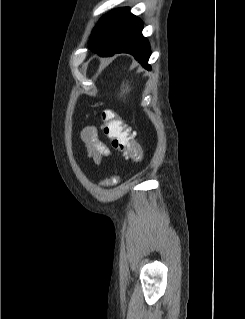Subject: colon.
Instances as JSON below:
<instances>
[{"instance_id": "5ec220e1", "label": "colon", "mask_w": 245, "mask_h": 319, "mask_svg": "<svg viewBox=\"0 0 245 319\" xmlns=\"http://www.w3.org/2000/svg\"><path fill=\"white\" fill-rule=\"evenodd\" d=\"M101 128L112 147L123 152L126 159L139 161L142 158V147L135 140V134L129 125L111 110H106L101 116Z\"/></svg>"}]
</instances>
